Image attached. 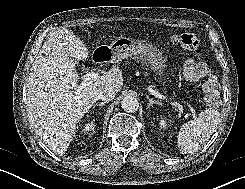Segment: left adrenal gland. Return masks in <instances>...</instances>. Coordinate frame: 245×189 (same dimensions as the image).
<instances>
[{
	"instance_id": "a2214340",
	"label": "left adrenal gland",
	"mask_w": 245,
	"mask_h": 189,
	"mask_svg": "<svg viewBox=\"0 0 245 189\" xmlns=\"http://www.w3.org/2000/svg\"><path fill=\"white\" fill-rule=\"evenodd\" d=\"M146 98L148 99V107L150 108L151 106H153L154 104H158V105H162V103H160L159 101L154 100L153 98H151L149 95L146 94Z\"/></svg>"
}]
</instances>
